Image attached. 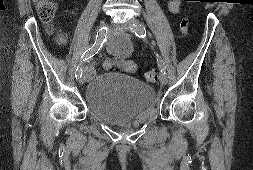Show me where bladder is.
I'll list each match as a JSON object with an SVG mask.
<instances>
[{
  "instance_id": "1",
  "label": "bladder",
  "mask_w": 253,
  "mask_h": 170,
  "mask_svg": "<svg viewBox=\"0 0 253 170\" xmlns=\"http://www.w3.org/2000/svg\"><path fill=\"white\" fill-rule=\"evenodd\" d=\"M154 88L135 76L118 72L101 73L85 88L88 108L101 120L123 125L153 107Z\"/></svg>"
}]
</instances>
